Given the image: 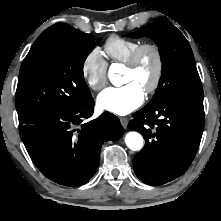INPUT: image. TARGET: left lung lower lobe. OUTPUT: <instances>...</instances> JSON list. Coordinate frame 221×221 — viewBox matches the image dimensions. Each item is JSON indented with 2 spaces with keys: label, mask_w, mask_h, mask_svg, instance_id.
<instances>
[{
  "label": "left lung lower lobe",
  "mask_w": 221,
  "mask_h": 221,
  "mask_svg": "<svg viewBox=\"0 0 221 221\" xmlns=\"http://www.w3.org/2000/svg\"><path fill=\"white\" fill-rule=\"evenodd\" d=\"M129 129L145 138L133 158L136 176L148 185H162L191 165L204 129L203 102L161 97L133 114Z\"/></svg>",
  "instance_id": "obj_1"
}]
</instances>
